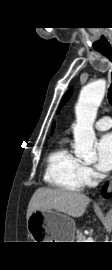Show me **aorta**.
<instances>
[{
    "label": "aorta",
    "mask_w": 112,
    "mask_h": 270,
    "mask_svg": "<svg viewBox=\"0 0 112 270\" xmlns=\"http://www.w3.org/2000/svg\"><path fill=\"white\" fill-rule=\"evenodd\" d=\"M106 81L96 80L86 85L80 92L75 106L76 124L73 126L74 153L78 158L94 162L97 160L93 149L96 140L93 124L98 107L104 97Z\"/></svg>",
    "instance_id": "obj_1"
}]
</instances>
